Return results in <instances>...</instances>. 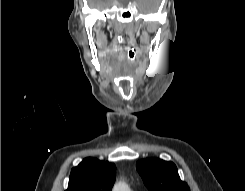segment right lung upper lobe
<instances>
[{
  "label": "right lung upper lobe",
  "instance_id": "1",
  "mask_svg": "<svg viewBox=\"0 0 245 191\" xmlns=\"http://www.w3.org/2000/svg\"><path fill=\"white\" fill-rule=\"evenodd\" d=\"M116 167L96 158H86L70 174L66 191H111Z\"/></svg>",
  "mask_w": 245,
  "mask_h": 191
}]
</instances>
